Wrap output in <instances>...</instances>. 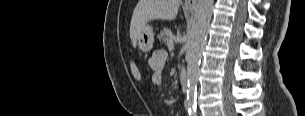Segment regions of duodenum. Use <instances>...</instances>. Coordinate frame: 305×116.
<instances>
[{"label": "duodenum", "mask_w": 305, "mask_h": 116, "mask_svg": "<svg viewBox=\"0 0 305 116\" xmlns=\"http://www.w3.org/2000/svg\"><path fill=\"white\" fill-rule=\"evenodd\" d=\"M180 83H181V91L185 92L187 90V75L183 68L180 69Z\"/></svg>", "instance_id": "duodenum-1"}]
</instances>
